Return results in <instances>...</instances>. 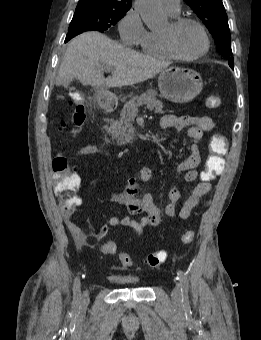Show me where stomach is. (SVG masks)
<instances>
[{
	"label": "stomach",
	"mask_w": 261,
	"mask_h": 340,
	"mask_svg": "<svg viewBox=\"0 0 261 340\" xmlns=\"http://www.w3.org/2000/svg\"><path fill=\"white\" fill-rule=\"evenodd\" d=\"M158 87L161 97L174 103H188L196 98L203 88L201 75L194 70L170 67L163 69L158 77ZM100 98L106 106L117 99V97L103 90Z\"/></svg>",
	"instance_id": "1"
}]
</instances>
